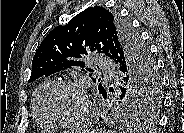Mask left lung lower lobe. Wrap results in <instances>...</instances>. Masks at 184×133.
<instances>
[{"mask_svg": "<svg viewBox=\"0 0 184 133\" xmlns=\"http://www.w3.org/2000/svg\"><path fill=\"white\" fill-rule=\"evenodd\" d=\"M119 71H121V68L119 69ZM101 94L103 95L104 98H106V96H107L106 89L104 91H102ZM127 117H130L129 121H134V120H137L139 118L137 116H127Z\"/></svg>", "mask_w": 184, "mask_h": 133, "instance_id": "0a47b994", "label": "left lung lower lobe"}]
</instances>
